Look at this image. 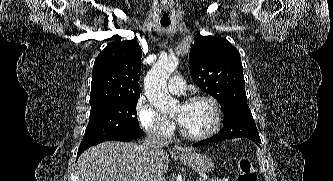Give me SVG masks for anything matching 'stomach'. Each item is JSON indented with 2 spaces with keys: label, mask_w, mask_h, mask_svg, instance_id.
<instances>
[{
  "label": "stomach",
  "mask_w": 333,
  "mask_h": 181,
  "mask_svg": "<svg viewBox=\"0 0 333 181\" xmlns=\"http://www.w3.org/2000/svg\"><path fill=\"white\" fill-rule=\"evenodd\" d=\"M179 160L196 172L208 173L213 168V161L204 154L187 152L183 155H178Z\"/></svg>",
  "instance_id": "0dacf381"
}]
</instances>
